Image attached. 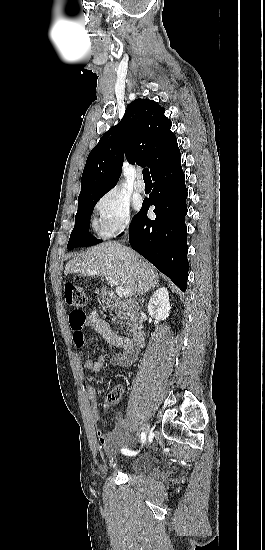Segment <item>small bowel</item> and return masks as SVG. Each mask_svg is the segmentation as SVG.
Returning a JSON list of instances; mask_svg holds the SVG:
<instances>
[{
	"mask_svg": "<svg viewBox=\"0 0 265 550\" xmlns=\"http://www.w3.org/2000/svg\"><path fill=\"white\" fill-rule=\"evenodd\" d=\"M88 324L90 328L102 336L107 343L122 350L121 353L112 356V363L123 367H128L134 363L138 356V350L132 348L131 339L114 332L108 323L100 318L95 312L89 314ZM83 330L80 338L77 340L80 344L84 341ZM105 361L106 355H100L94 360L86 359L84 361V367L92 373H98L102 370ZM97 388L96 384H91L87 390L93 408L95 405ZM94 417L96 418L95 413ZM127 427L128 424L124 418L121 415H117L115 418V428L111 432L103 433L100 429H97V437L104 450L109 451L112 445L125 441L127 438Z\"/></svg>",
	"mask_w": 265,
	"mask_h": 550,
	"instance_id": "c3829d8e",
	"label": "small bowel"
}]
</instances>
